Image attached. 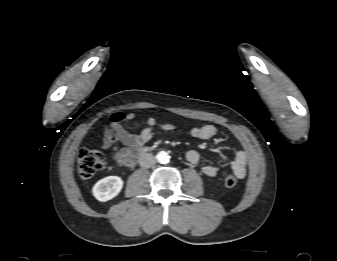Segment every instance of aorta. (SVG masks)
<instances>
[{
	"label": "aorta",
	"mask_w": 337,
	"mask_h": 261,
	"mask_svg": "<svg viewBox=\"0 0 337 261\" xmlns=\"http://www.w3.org/2000/svg\"><path fill=\"white\" fill-rule=\"evenodd\" d=\"M156 158L159 163L164 164L169 162L170 156L166 151H160L158 152Z\"/></svg>",
	"instance_id": "762f6f07"
}]
</instances>
